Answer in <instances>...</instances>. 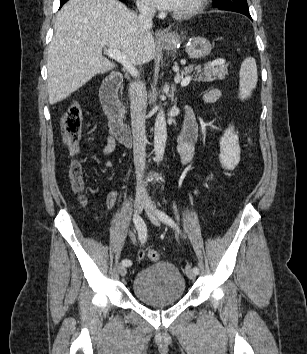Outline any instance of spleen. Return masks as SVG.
Instances as JSON below:
<instances>
[{"mask_svg": "<svg viewBox=\"0 0 307 354\" xmlns=\"http://www.w3.org/2000/svg\"><path fill=\"white\" fill-rule=\"evenodd\" d=\"M239 98L247 99L251 96L252 90L256 88L258 75L255 59L247 57L241 64L239 72Z\"/></svg>", "mask_w": 307, "mask_h": 354, "instance_id": "obj_1", "label": "spleen"}]
</instances>
